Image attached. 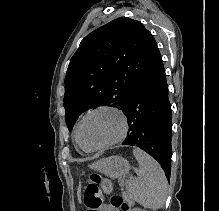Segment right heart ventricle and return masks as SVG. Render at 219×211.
Wrapping results in <instances>:
<instances>
[{
	"label": "right heart ventricle",
	"mask_w": 219,
	"mask_h": 211,
	"mask_svg": "<svg viewBox=\"0 0 219 211\" xmlns=\"http://www.w3.org/2000/svg\"><path fill=\"white\" fill-rule=\"evenodd\" d=\"M74 137H75L76 142H78V139H77V127L75 128V131H74Z\"/></svg>",
	"instance_id": "e07e8e85"
}]
</instances>
